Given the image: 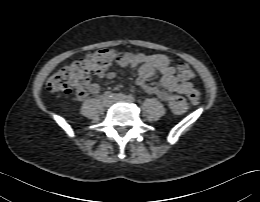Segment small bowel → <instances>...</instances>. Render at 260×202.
Masks as SVG:
<instances>
[{
    "instance_id": "small-bowel-1",
    "label": "small bowel",
    "mask_w": 260,
    "mask_h": 202,
    "mask_svg": "<svg viewBox=\"0 0 260 202\" xmlns=\"http://www.w3.org/2000/svg\"><path fill=\"white\" fill-rule=\"evenodd\" d=\"M117 64L122 68H133L138 66V80L137 85L146 94L155 96L163 102L169 104L172 110L181 114L185 110V103L181 95L188 93L192 88V84L186 81H179L175 76V69L170 64L167 56L163 54H131L122 55ZM156 73L161 75V87L150 85L147 80L153 77ZM101 77L113 79L116 72L113 70L102 72ZM86 90L83 88L76 92L79 99L86 97L87 93L96 95L100 92L98 83L87 80L85 83Z\"/></svg>"
}]
</instances>
